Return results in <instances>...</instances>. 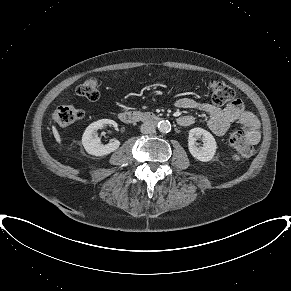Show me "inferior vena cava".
<instances>
[{"instance_id": "inferior-vena-cava-1", "label": "inferior vena cava", "mask_w": 291, "mask_h": 291, "mask_svg": "<svg viewBox=\"0 0 291 291\" xmlns=\"http://www.w3.org/2000/svg\"><path fill=\"white\" fill-rule=\"evenodd\" d=\"M140 130L143 134H150L155 131V126L151 122H145L141 125Z\"/></svg>"}]
</instances>
